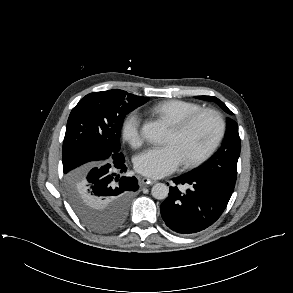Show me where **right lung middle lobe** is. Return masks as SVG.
<instances>
[{
    "label": "right lung middle lobe",
    "mask_w": 293,
    "mask_h": 293,
    "mask_svg": "<svg viewBox=\"0 0 293 293\" xmlns=\"http://www.w3.org/2000/svg\"><path fill=\"white\" fill-rule=\"evenodd\" d=\"M149 99L123 90L93 92L72 109L63 142V171L69 201L90 228L112 231L124 218L117 213L93 210L85 194V174L96 161L122 157L120 132L125 115Z\"/></svg>",
    "instance_id": "obj_1"
}]
</instances>
